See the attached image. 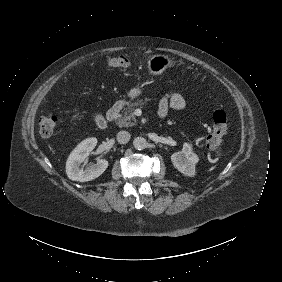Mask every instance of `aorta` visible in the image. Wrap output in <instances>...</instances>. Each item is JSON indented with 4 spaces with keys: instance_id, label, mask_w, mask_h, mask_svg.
Instances as JSON below:
<instances>
[{
    "instance_id": "1",
    "label": "aorta",
    "mask_w": 282,
    "mask_h": 282,
    "mask_svg": "<svg viewBox=\"0 0 282 282\" xmlns=\"http://www.w3.org/2000/svg\"><path fill=\"white\" fill-rule=\"evenodd\" d=\"M133 146L137 150H143V149H145L147 147V141L143 137H136L133 140Z\"/></svg>"
}]
</instances>
